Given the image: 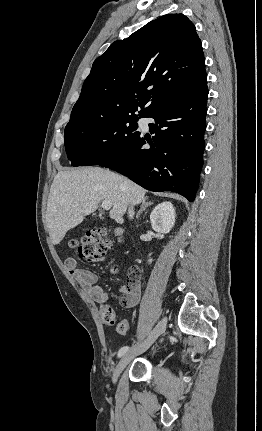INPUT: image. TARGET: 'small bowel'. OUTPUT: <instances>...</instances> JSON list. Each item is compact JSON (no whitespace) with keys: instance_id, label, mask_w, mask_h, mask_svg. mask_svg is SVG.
Here are the masks:
<instances>
[{"instance_id":"small-bowel-1","label":"small bowel","mask_w":262,"mask_h":431,"mask_svg":"<svg viewBox=\"0 0 262 431\" xmlns=\"http://www.w3.org/2000/svg\"><path fill=\"white\" fill-rule=\"evenodd\" d=\"M65 266L74 276L79 285L84 289L87 296L99 303L101 314H107L108 311H111V316L115 320L116 314L111 308V305L108 303L107 294L98 284L97 276L88 269L77 267V262L74 258H67L65 261ZM120 293L121 303L124 306L133 307L137 305L141 298L139 279L131 278L127 283L121 286Z\"/></svg>"}]
</instances>
